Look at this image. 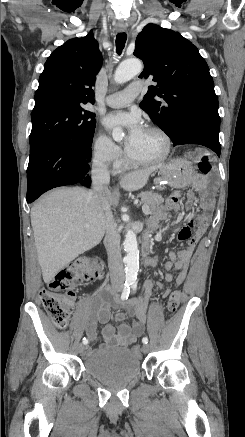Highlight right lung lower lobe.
<instances>
[{
	"instance_id": "1",
	"label": "right lung lower lobe",
	"mask_w": 245,
	"mask_h": 437,
	"mask_svg": "<svg viewBox=\"0 0 245 437\" xmlns=\"http://www.w3.org/2000/svg\"><path fill=\"white\" fill-rule=\"evenodd\" d=\"M90 161L91 145L69 147L54 139L41 141L30 149L27 202L58 186L81 183L89 187Z\"/></svg>"
}]
</instances>
